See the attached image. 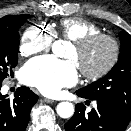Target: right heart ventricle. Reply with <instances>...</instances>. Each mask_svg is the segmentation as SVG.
<instances>
[{
	"mask_svg": "<svg viewBox=\"0 0 131 131\" xmlns=\"http://www.w3.org/2000/svg\"><path fill=\"white\" fill-rule=\"evenodd\" d=\"M54 32L74 42L86 35L99 33L101 29L92 21L84 18L72 17L61 20L58 27L54 29Z\"/></svg>",
	"mask_w": 131,
	"mask_h": 131,
	"instance_id": "right-heart-ventricle-1",
	"label": "right heart ventricle"
}]
</instances>
